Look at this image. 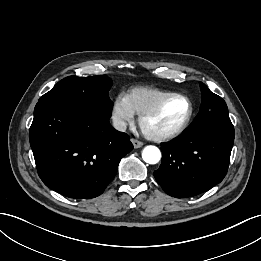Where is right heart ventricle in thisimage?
Masks as SVG:
<instances>
[{
    "mask_svg": "<svg viewBox=\"0 0 261 261\" xmlns=\"http://www.w3.org/2000/svg\"><path fill=\"white\" fill-rule=\"evenodd\" d=\"M170 92L152 87H136L127 94L128 101L133 111L140 115Z\"/></svg>",
    "mask_w": 261,
    "mask_h": 261,
    "instance_id": "e07e8e85",
    "label": "right heart ventricle"
}]
</instances>
